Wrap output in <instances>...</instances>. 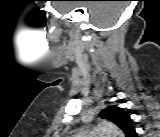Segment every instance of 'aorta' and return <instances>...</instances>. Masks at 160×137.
<instances>
[{
  "label": "aorta",
  "instance_id": "obj_1",
  "mask_svg": "<svg viewBox=\"0 0 160 137\" xmlns=\"http://www.w3.org/2000/svg\"><path fill=\"white\" fill-rule=\"evenodd\" d=\"M97 133L106 134L108 136L112 137H123L124 134L119 128L110 122H102V124L99 126Z\"/></svg>",
  "mask_w": 160,
  "mask_h": 137
}]
</instances>
